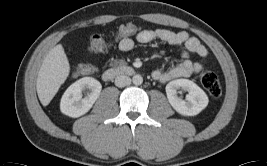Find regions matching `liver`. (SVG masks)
Segmentation results:
<instances>
[{"label": "liver", "instance_id": "liver-1", "mask_svg": "<svg viewBox=\"0 0 267 166\" xmlns=\"http://www.w3.org/2000/svg\"><path fill=\"white\" fill-rule=\"evenodd\" d=\"M70 73L68 58L61 44L53 47L39 69L36 90L43 106H47Z\"/></svg>", "mask_w": 267, "mask_h": 166}]
</instances>
